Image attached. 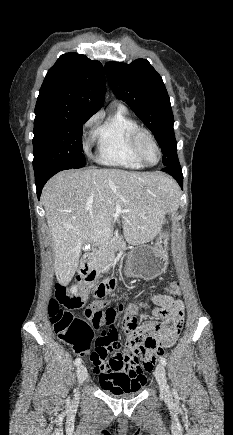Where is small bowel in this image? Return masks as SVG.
Segmentation results:
<instances>
[{"label": "small bowel", "mask_w": 233, "mask_h": 435, "mask_svg": "<svg viewBox=\"0 0 233 435\" xmlns=\"http://www.w3.org/2000/svg\"><path fill=\"white\" fill-rule=\"evenodd\" d=\"M175 292L180 291V284L175 283L171 286ZM116 289L115 280H110L105 288L104 294H109ZM76 290V289H75ZM83 297L87 296L86 291L82 292ZM149 300L155 306V315L160 318H165L167 321V330L171 333L172 337H175L181 329V325L184 319V305L183 302L173 298L170 295H164L159 293H151ZM128 308L138 310V306L135 304L128 305ZM117 318L110 324H108L101 332V336L104 340L114 345L118 339V332L116 330ZM145 322L150 326L160 325L155 319H147ZM161 327V325H160ZM124 356L121 353H114L112 357L105 363L93 364L94 371L99 377V381L102 388L115 389V376L119 374H125L128 376L131 385L140 384L145 380V376L148 371L143 366H134L127 369L123 366Z\"/></svg>", "instance_id": "small-bowel-1"}]
</instances>
